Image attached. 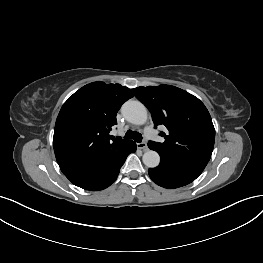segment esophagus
<instances>
[{
  "instance_id": "obj_1",
  "label": "esophagus",
  "mask_w": 263,
  "mask_h": 263,
  "mask_svg": "<svg viewBox=\"0 0 263 263\" xmlns=\"http://www.w3.org/2000/svg\"><path fill=\"white\" fill-rule=\"evenodd\" d=\"M137 148L142 150V151H147L148 150L147 144L145 142L137 143Z\"/></svg>"
}]
</instances>
